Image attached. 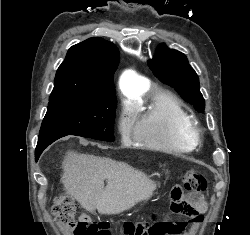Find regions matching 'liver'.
I'll use <instances>...</instances> for the list:
<instances>
[{"label": "liver", "mask_w": 250, "mask_h": 235, "mask_svg": "<svg viewBox=\"0 0 250 235\" xmlns=\"http://www.w3.org/2000/svg\"><path fill=\"white\" fill-rule=\"evenodd\" d=\"M65 190L87 211L119 214L150 199L156 183L124 162L68 151L62 162ZM104 180L107 181L106 186Z\"/></svg>", "instance_id": "liver-1"}]
</instances>
